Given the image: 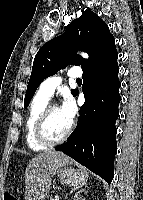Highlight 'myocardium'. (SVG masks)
I'll use <instances>...</instances> for the list:
<instances>
[{
  "label": "myocardium",
  "mask_w": 143,
  "mask_h": 200,
  "mask_svg": "<svg viewBox=\"0 0 143 200\" xmlns=\"http://www.w3.org/2000/svg\"><path fill=\"white\" fill-rule=\"evenodd\" d=\"M59 108L57 104L53 102H48L43 111L41 112L39 118L36 121L34 127L35 139L42 145L49 147L60 144L67 140L73 130V124L71 123L67 131L59 138L53 139L47 133V122L52 109Z\"/></svg>",
  "instance_id": "f54148a6"
}]
</instances>
